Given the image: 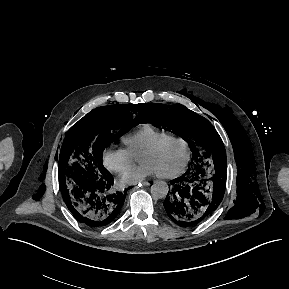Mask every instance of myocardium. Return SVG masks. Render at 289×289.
<instances>
[{"label": "myocardium", "mask_w": 289, "mask_h": 289, "mask_svg": "<svg viewBox=\"0 0 289 289\" xmlns=\"http://www.w3.org/2000/svg\"><path fill=\"white\" fill-rule=\"evenodd\" d=\"M172 140L179 141L184 145V147L186 149V157H185V160H184L183 164L181 165V167L178 168L176 171L171 172V173H165V174H157L160 178L173 179V178L180 176L181 174H183L186 171V169L190 163L191 157H192V150H191V146H190L189 142L180 135L169 134V135L159 139L157 142L150 145L149 147L145 148L139 154V156H141L143 154L156 152L158 149L161 148V146L164 143H166L168 141H172Z\"/></svg>", "instance_id": "1"}]
</instances>
